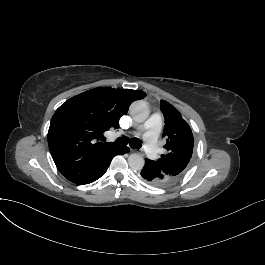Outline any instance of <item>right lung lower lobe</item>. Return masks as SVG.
Segmentation results:
<instances>
[{"label": "right lung lower lobe", "instance_id": "obj_1", "mask_svg": "<svg viewBox=\"0 0 265 265\" xmlns=\"http://www.w3.org/2000/svg\"><path fill=\"white\" fill-rule=\"evenodd\" d=\"M128 152H129L128 147H122V149L120 151H118L116 155H118V154L123 155V154L128 153ZM110 163H111V161H110ZM110 163L105 167V169L101 172V174H100V176L98 178H100L101 176H103L105 174V172L107 171L108 166L110 165ZM98 178H96L95 180H97Z\"/></svg>", "mask_w": 265, "mask_h": 265}]
</instances>
